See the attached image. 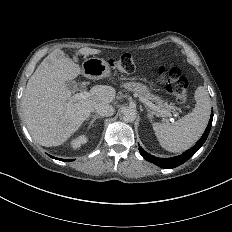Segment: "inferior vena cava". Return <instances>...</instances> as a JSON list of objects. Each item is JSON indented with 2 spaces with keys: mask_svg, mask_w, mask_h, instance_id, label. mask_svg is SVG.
<instances>
[{
  "mask_svg": "<svg viewBox=\"0 0 232 232\" xmlns=\"http://www.w3.org/2000/svg\"><path fill=\"white\" fill-rule=\"evenodd\" d=\"M95 110L100 116H106V117L112 116L114 113L113 106L106 103L96 104Z\"/></svg>",
  "mask_w": 232,
  "mask_h": 232,
  "instance_id": "602c4592",
  "label": "inferior vena cava"
}]
</instances>
